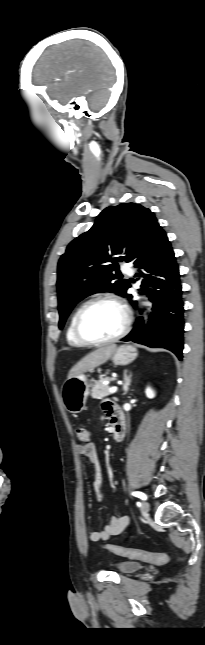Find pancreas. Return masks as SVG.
I'll list each match as a JSON object with an SVG mask.
<instances>
[{
	"label": "pancreas",
	"instance_id": "1",
	"mask_svg": "<svg viewBox=\"0 0 205 645\" xmlns=\"http://www.w3.org/2000/svg\"><path fill=\"white\" fill-rule=\"evenodd\" d=\"M110 378H101L92 388L91 396L95 399H101L110 394L109 385L103 384L104 381L109 380Z\"/></svg>",
	"mask_w": 205,
	"mask_h": 645
}]
</instances>
